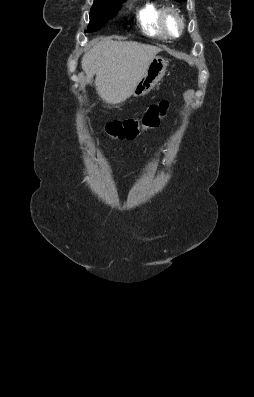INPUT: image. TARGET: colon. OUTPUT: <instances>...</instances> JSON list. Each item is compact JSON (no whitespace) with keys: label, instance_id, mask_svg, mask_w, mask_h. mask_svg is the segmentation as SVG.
<instances>
[{"label":"colon","instance_id":"5ec220e1","mask_svg":"<svg viewBox=\"0 0 254 397\" xmlns=\"http://www.w3.org/2000/svg\"><path fill=\"white\" fill-rule=\"evenodd\" d=\"M169 108L167 100L150 106L140 119L115 121L106 126V133L114 139H134L146 130L156 128Z\"/></svg>","mask_w":254,"mask_h":397}]
</instances>
